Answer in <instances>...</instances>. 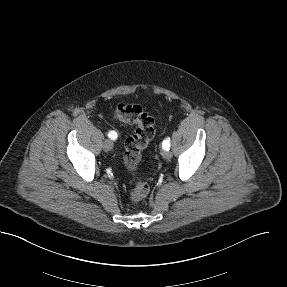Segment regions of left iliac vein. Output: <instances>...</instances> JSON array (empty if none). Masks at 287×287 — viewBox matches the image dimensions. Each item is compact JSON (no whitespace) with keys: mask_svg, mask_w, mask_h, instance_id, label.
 Returning <instances> with one entry per match:
<instances>
[{"mask_svg":"<svg viewBox=\"0 0 287 287\" xmlns=\"http://www.w3.org/2000/svg\"><path fill=\"white\" fill-rule=\"evenodd\" d=\"M162 156L164 159H170L172 157V153L169 150L168 151L164 150L162 152Z\"/></svg>","mask_w":287,"mask_h":287,"instance_id":"obj_1","label":"left iliac vein"}]
</instances>
